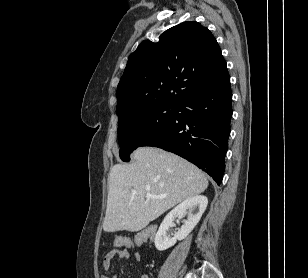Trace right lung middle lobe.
Instances as JSON below:
<instances>
[{"instance_id": "right-lung-middle-lobe-1", "label": "right lung middle lobe", "mask_w": 308, "mask_h": 278, "mask_svg": "<svg viewBox=\"0 0 308 278\" xmlns=\"http://www.w3.org/2000/svg\"><path fill=\"white\" fill-rule=\"evenodd\" d=\"M177 112V104H156L139 109L120 120L118 139L121 159L129 161L131 152L172 122Z\"/></svg>"}]
</instances>
